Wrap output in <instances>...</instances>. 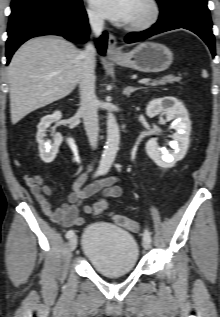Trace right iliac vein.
Returning a JSON list of instances; mask_svg holds the SVG:
<instances>
[{
	"label": "right iliac vein",
	"instance_id": "63e3f726",
	"mask_svg": "<svg viewBox=\"0 0 220 317\" xmlns=\"http://www.w3.org/2000/svg\"><path fill=\"white\" fill-rule=\"evenodd\" d=\"M77 236H73L69 240V249L70 251H74L77 247Z\"/></svg>",
	"mask_w": 220,
	"mask_h": 317
}]
</instances>
